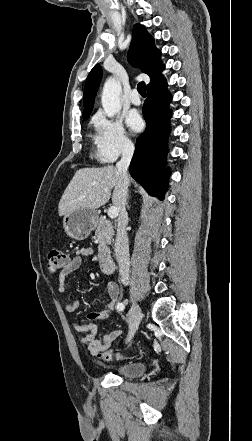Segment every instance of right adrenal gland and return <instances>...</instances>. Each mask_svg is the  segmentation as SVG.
<instances>
[{"mask_svg": "<svg viewBox=\"0 0 252 441\" xmlns=\"http://www.w3.org/2000/svg\"><path fill=\"white\" fill-rule=\"evenodd\" d=\"M127 208H128V209L130 208L129 205H128V203H127Z\"/></svg>", "mask_w": 252, "mask_h": 441, "instance_id": "1", "label": "right adrenal gland"}]
</instances>
